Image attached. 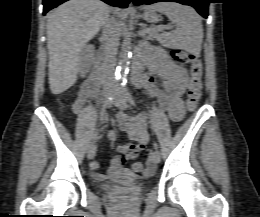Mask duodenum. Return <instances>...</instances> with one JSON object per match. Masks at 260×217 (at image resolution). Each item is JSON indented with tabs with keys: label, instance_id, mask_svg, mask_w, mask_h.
<instances>
[{
	"label": "duodenum",
	"instance_id": "1",
	"mask_svg": "<svg viewBox=\"0 0 260 217\" xmlns=\"http://www.w3.org/2000/svg\"><path fill=\"white\" fill-rule=\"evenodd\" d=\"M101 71V68H97L93 74L83 83L81 89L82 93L88 95L97 92L98 76L101 74ZM143 75V69L135 64L132 72V82L137 83Z\"/></svg>",
	"mask_w": 260,
	"mask_h": 217
}]
</instances>
